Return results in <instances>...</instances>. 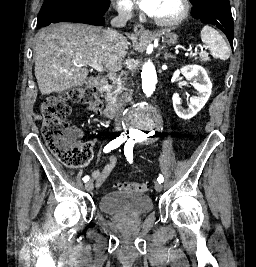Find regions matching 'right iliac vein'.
Instances as JSON below:
<instances>
[{"label":"right iliac vein","instance_id":"63e3f726","mask_svg":"<svg viewBox=\"0 0 256 267\" xmlns=\"http://www.w3.org/2000/svg\"><path fill=\"white\" fill-rule=\"evenodd\" d=\"M94 188V183L92 181H89L85 184V189L88 192H91Z\"/></svg>","mask_w":256,"mask_h":267}]
</instances>
